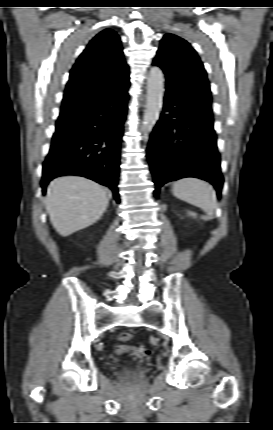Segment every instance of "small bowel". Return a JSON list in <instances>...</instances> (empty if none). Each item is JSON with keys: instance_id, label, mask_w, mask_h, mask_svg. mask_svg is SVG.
<instances>
[{"instance_id": "small-bowel-1", "label": "small bowel", "mask_w": 273, "mask_h": 430, "mask_svg": "<svg viewBox=\"0 0 273 430\" xmlns=\"http://www.w3.org/2000/svg\"><path fill=\"white\" fill-rule=\"evenodd\" d=\"M122 347L125 348V349L128 348V346H122Z\"/></svg>"}]
</instances>
